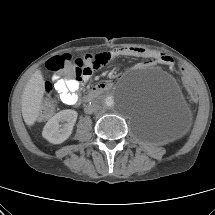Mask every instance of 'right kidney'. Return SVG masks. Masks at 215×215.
<instances>
[{"label":"right kidney","instance_id":"1","mask_svg":"<svg viewBox=\"0 0 215 215\" xmlns=\"http://www.w3.org/2000/svg\"><path fill=\"white\" fill-rule=\"evenodd\" d=\"M77 116L78 113L70 109L58 112L48 120L43 128L42 136L50 143H63L72 134Z\"/></svg>","mask_w":215,"mask_h":215}]
</instances>
